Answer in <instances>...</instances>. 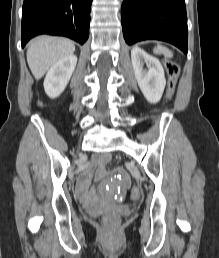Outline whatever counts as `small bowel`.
<instances>
[{"label":"small bowel","mask_w":219,"mask_h":258,"mask_svg":"<svg viewBox=\"0 0 219 258\" xmlns=\"http://www.w3.org/2000/svg\"><path fill=\"white\" fill-rule=\"evenodd\" d=\"M109 159H110V156L108 154L100 155L93 159L92 166L97 168L96 178L98 180H102L104 178V176H105L104 166ZM115 171L119 172V175L122 176L123 184H132L133 183V180L128 179V177L126 176V172L124 171L123 167H116ZM89 183H90V178H89V173H87L80 183L79 191H80L81 196L84 199H87L90 201L92 199L93 195H92V191L89 188Z\"/></svg>","instance_id":"c3829d8e"}]
</instances>
